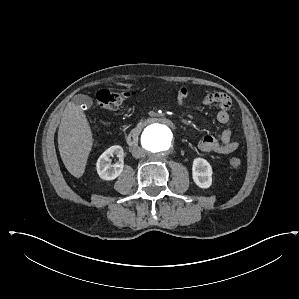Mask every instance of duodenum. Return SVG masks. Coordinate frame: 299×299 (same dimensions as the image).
I'll return each mask as SVG.
<instances>
[{
  "instance_id": "obj_1",
  "label": "duodenum",
  "mask_w": 299,
  "mask_h": 299,
  "mask_svg": "<svg viewBox=\"0 0 299 299\" xmlns=\"http://www.w3.org/2000/svg\"><path fill=\"white\" fill-rule=\"evenodd\" d=\"M156 121H161V122L165 123L167 126H169L171 128H175V124L170 119H167L164 117H158V116H152V117L145 118V119L141 120L140 122H138L137 125L129 133V135L127 137L128 146H130V147L135 146L138 142V138H139L140 132L143 129V127L148 123L156 122Z\"/></svg>"
}]
</instances>
